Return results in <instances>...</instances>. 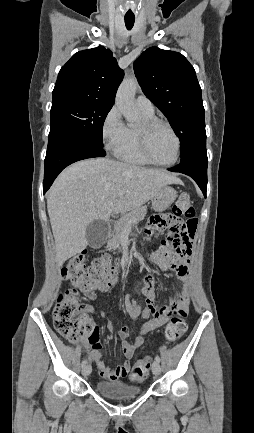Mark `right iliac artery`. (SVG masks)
I'll return each mask as SVG.
<instances>
[{
	"label": "right iliac artery",
	"mask_w": 254,
	"mask_h": 433,
	"mask_svg": "<svg viewBox=\"0 0 254 433\" xmlns=\"http://www.w3.org/2000/svg\"><path fill=\"white\" fill-rule=\"evenodd\" d=\"M86 365V360L82 362V368Z\"/></svg>",
	"instance_id": "obj_1"
}]
</instances>
